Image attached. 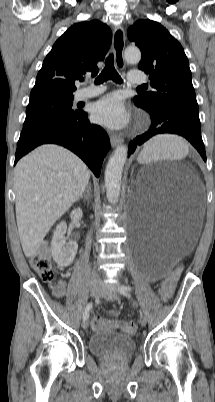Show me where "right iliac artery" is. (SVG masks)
<instances>
[{
    "mask_svg": "<svg viewBox=\"0 0 215 402\" xmlns=\"http://www.w3.org/2000/svg\"><path fill=\"white\" fill-rule=\"evenodd\" d=\"M92 307H93V303H92V302H90V303L87 304V306H86V308H85V311H84V313H83V320H87V319H88V317H89V312H90V310L92 309Z\"/></svg>",
    "mask_w": 215,
    "mask_h": 402,
    "instance_id": "obj_1",
    "label": "right iliac artery"
}]
</instances>
